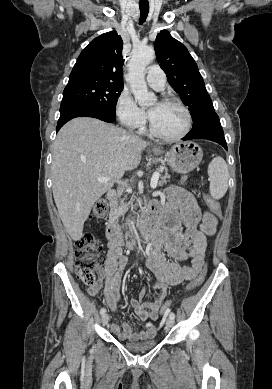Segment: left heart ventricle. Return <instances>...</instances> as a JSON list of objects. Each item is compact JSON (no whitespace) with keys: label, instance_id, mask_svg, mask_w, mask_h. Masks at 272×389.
Listing matches in <instances>:
<instances>
[{"label":"left heart ventricle","instance_id":"left-heart-ventricle-1","mask_svg":"<svg viewBox=\"0 0 272 389\" xmlns=\"http://www.w3.org/2000/svg\"><path fill=\"white\" fill-rule=\"evenodd\" d=\"M148 113L155 128L166 135L180 133L186 124V118L182 110L171 104H162L154 101L148 107Z\"/></svg>","mask_w":272,"mask_h":389}]
</instances>
